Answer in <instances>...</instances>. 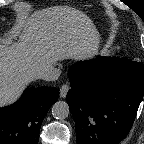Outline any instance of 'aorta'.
Returning a JSON list of instances; mask_svg holds the SVG:
<instances>
[{
	"instance_id": "obj_1",
	"label": "aorta",
	"mask_w": 144,
	"mask_h": 144,
	"mask_svg": "<svg viewBox=\"0 0 144 144\" xmlns=\"http://www.w3.org/2000/svg\"><path fill=\"white\" fill-rule=\"evenodd\" d=\"M69 113H70V109L67 102L65 101H57L52 106V116L55 119L63 120L68 117Z\"/></svg>"
}]
</instances>
